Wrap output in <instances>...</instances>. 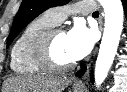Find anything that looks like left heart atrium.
<instances>
[{
	"label": "left heart atrium",
	"instance_id": "1",
	"mask_svg": "<svg viewBox=\"0 0 127 92\" xmlns=\"http://www.w3.org/2000/svg\"><path fill=\"white\" fill-rule=\"evenodd\" d=\"M94 42L95 32L81 22H77L67 33L68 50L73 60H80L88 55Z\"/></svg>",
	"mask_w": 127,
	"mask_h": 92
}]
</instances>
